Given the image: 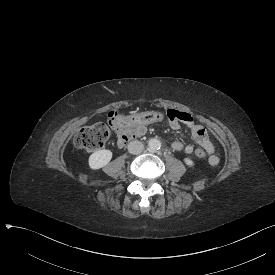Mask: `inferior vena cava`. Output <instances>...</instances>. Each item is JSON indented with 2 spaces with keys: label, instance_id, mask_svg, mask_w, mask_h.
<instances>
[{
  "label": "inferior vena cava",
  "instance_id": "602c4592",
  "mask_svg": "<svg viewBox=\"0 0 275 275\" xmlns=\"http://www.w3.org/2000/svg\"><path fill=\"white\" fill-rule=\"evenodd\" d=\"M144 150V145L140 141H132L128 144V151L131 154L137 155Z\"/></svg>",
  "mask_w": 275,
  "mask_h": 275
}]
</instances>
